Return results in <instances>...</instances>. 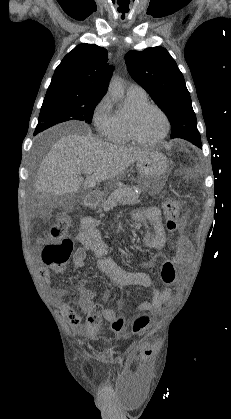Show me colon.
I'll use <instances>...</instances> for the list:
<instances>
[{
    "instance_id": "5ec220e1",
    "label": "colon",
    "mask_w": 231,
    "mask_h": 419,
    "mask_svg": "<svg viewBox=\"0 0 231 419\" xmlns=\"http://www.w3.org/2000/svg\"><path fill=\"white\" fill-rule=\"evenodd\" d=\"M166 228L170 232L176 231L178 227V218L180 215V203L175 199L167 200L164 204ZM71 228V220L67 216L59 218L49 229L53 241L47 244L42 250V259L47 265H62L66 263L73 251L74 245L71 239L65 237V234ZM176 261L171 253H166L162 263L159 266V278L164 282L165 287L175 286ZM104 309L96 304L91 310L94 318L99 319ZM147 316L140 315L132 323V330L135 334H143L146 325ZM124 327V319L120 315H113L110 321V328L115 333H121ZM146 349L151 345H146Z\"/></svg>"
}]
</instances>
